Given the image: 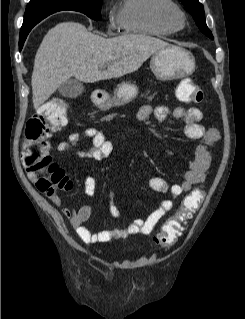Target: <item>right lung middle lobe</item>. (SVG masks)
<instances>
[{"mask_svg":"<svg viewBox=\"0 0 245 319\" xmlns=\"http://www.w3.org/2000/svg\"><path fill=\"white\" fill-rule=\"evenodd\" d=\"M101 2L102 0H63L56 2L49 1H31L28 3L25 14H29L38 7L59 8V10H73L86 14L94 20H99L101 16ZM24 21L22 28L28 24Z\"/></svg>","mask_w":245,"mask_h":319,"instance_id":"right-lung-middle-lobe-1","label":"right lung middle lobe"}]
</instances>
